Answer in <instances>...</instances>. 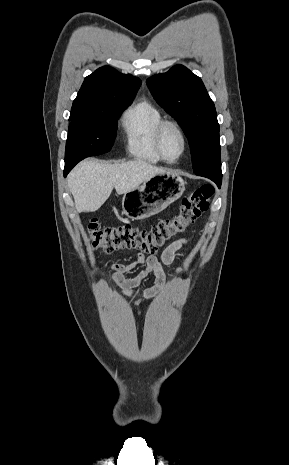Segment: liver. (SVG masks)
<instances>
[{
  "instance_id": "6515ba94",
  "label": "liver",
  "mask_w": 289,
  "mask_h": 465,
  "mask_svg": "<svg viewBox=\"0 0 289 465\" xmlns=\"http://www.w3.org/2000/svg\"><path fill=\"white\" fill-rule=\"evenodd\" d=\"M165 172L142 160L121 164L84 160L69 174L68 187L78 212H94L109 198L113 188L118 194H125Z\"/></svg>"
}]
</instances>
